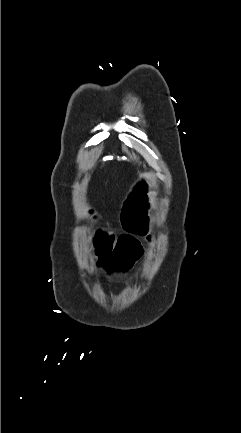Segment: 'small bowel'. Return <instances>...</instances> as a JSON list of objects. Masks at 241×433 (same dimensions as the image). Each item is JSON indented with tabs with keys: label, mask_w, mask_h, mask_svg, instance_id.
<instances>
[{
	"label": "small bowel",
	"mask_w": 241,
	"mask_h": 433,
	"mask_svg": "<svg viewBox=\"0 0 241 433\" xmlns=\"http://www.w3.org/2000/svg\"><path fill=\"white\" fill-rule=\"evenodd\" d=\"M138 181H149V182H154L155 184H156V182H155V179L154 178H152L151 180H141L140 178H138V180H137V182ZM137 183L135 184V186H134V190L137 188ZM156 188V187H155ZM155 188L153 189V192L152 193H154V191H155ZM135 192V191H134ZM151 193V194H152Z\"/></svg>",
	"instance_id": "c3829d8e"
}]
</instances>
